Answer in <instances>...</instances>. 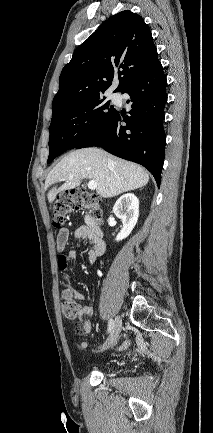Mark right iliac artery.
Instances as JSON below:
<instances>
[{
    "label": "right iliac artery",
    "instance_id": "right-iliac-artery-1",
    "mask_svg": "<svg viewBox=\"0 0 213 433\" xmlns=\"http://www.w3.org/2000/svg\"><path fill=\"white\" fill-rule=\"evenodd\" d=\"M114 321L113 319H110L108 322V332H110L113 329Z\"/></svg>",
    "mask_w": 213,
    "mask_h": 433
}]
</instances>
